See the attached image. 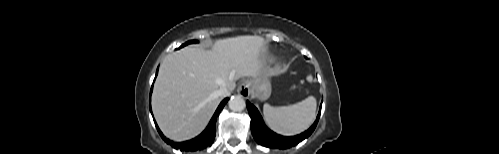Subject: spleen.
Returning a JSON list of instances; mask_svg holds the SVG:
<instances>
[{
    "label": "spleen",
    "mask_w": 499,
    "mask_h": 154,
    "mask_svg": "<svg viewBox=\"0 0 499 154\" xmlns=\"http://www.w3.org/2000/svg\"><path fill=\"white\" fill-rule=\"evenodd\" d=\"M316 106L314 96L289 106L273 107L266 103L263 106V115L271 129L279 134L291 136L303 132L313 123Z\"/></svg>",
    "instance_id": "1"
}]
</instances>
